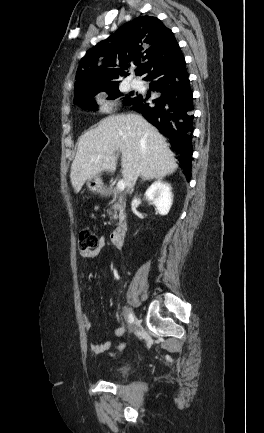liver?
I'll return each mask as SVG.
<instances>
[{"instance_id":"liver-1","label":"liver","mask_w":264,"mask_h":433,"mask_svg":"<svg viewBox=\"0 0 264 433\" xmlns=\"http://www.w3.org/2000/svg\"><path fill=\"white\" fill-rule=\"evenodd\" d=\"M115 149L122 153V176L128 189L137 171L143 178L159 179L178 167L166 139L142 116L106 117L79 139L70 173L76 193L88 179L116 170Z\"/></svg>"}]
</instances>
